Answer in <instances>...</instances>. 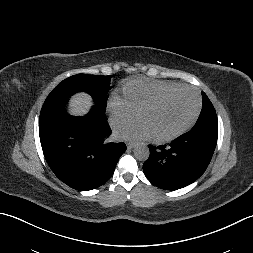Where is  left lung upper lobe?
<instances>
[{
	"instance_id": "left-lung-upper-lobe-1",
	"label": "left lung upper lobe",
	"mask_w": 253,
	"mask_h": 253,
	"mask_svg": "<svg viewBox=\"0 0 253 253\" xmlns=\"http://www.w3.org/2000/svg\"><path fill=\"white\" fill-rule=\"evenodd\" d=\"M204 97V106L199 116V119L193 128L206 127L212 130L218 131V122L215 109L205 93H202Z\"/></svg>"
}]
</instances>
